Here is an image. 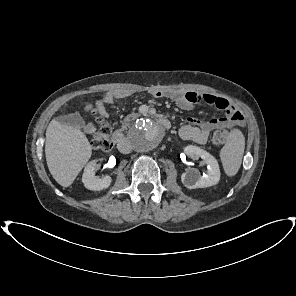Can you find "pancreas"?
<instances>
[{"mask_svg": "<svg viewBox=\"0 0 296 296\" xmlns=\"http://www.w3.org/2000/svg\"><path fill=\"white\" fill-rule=\"evenodd\" d=\"M131 120V116H127L123 121H122V129H126L129 126V122Z\"/></svg>", "mask_w": 296, "mask_h": 296, "instance_id": "obj_1", "label": "pancreas"}]
</instances>
